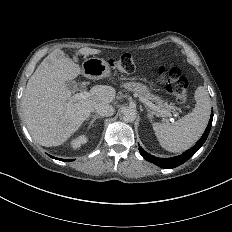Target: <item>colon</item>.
Here are the masks:
<instances>
[{"mask_svg":"<svg viewBox=\"0 0 232 232\" xmlns=\"http://www.w3.org/2000/svg\"><path fill=\"white\" fill-rule=\"evenodd\" d=\"M112 61H116L115 65L118 66L116 69L117 73H138L139 69L135 68V62L129 61V56H112ZM166 82L174 86H170L171 94H176L174 101L178 105L186 104V95L188 94V88L190 86V81L185 79V77L177 72L172 71L166 77Z\"/></svg>","mask_w":232,"mask_h":232,"instance_id":"obj_1","label":"colon"}]
</instances>
